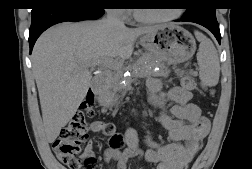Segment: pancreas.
Returning <instances> with one entry per match:
<instances>
[{
  "instance_id": "1",
  "label": "pancreas",
  "mask_w": 252,
  "mask_h": 169,
  "mask_svg": "<svg viewBox=\"0 0 252 169\" xmlns=\"http://www.w3.org/2000/svg\"><path fill=\"white\" fill-rule=\"evenodd\" d=\"M156 66L161 67V70L154 72V68ZM128 69H133L131 77L127 78L130 81H134L137 77L149 78L156 75L167 77L169 73L168 69L158 57L152 54H145L134 65L123 67L109 76L105 81L106 87L113 88L114 85L122 78L123 72Z\"/></svg>"
}]
</instances>
